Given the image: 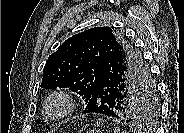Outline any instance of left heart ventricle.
Listing matches in <instances>:
<instances>
[{
  "label": "left heart ventricle",
  "mask_w": 184,
  "mask_h": 133,
  "mask_svg": "<svg viewBox=\"0 0 184 133\" xmlns=\"http://www.w3.org/2000/svg\"><path fill=\"white\" fill-rule=\"evenodd\" d=\"M59 109V105L57 103L53 104L50 108L52 112H56Z\"/></svg>",
  "instance_id": "obj_1"
}]
</instances>
